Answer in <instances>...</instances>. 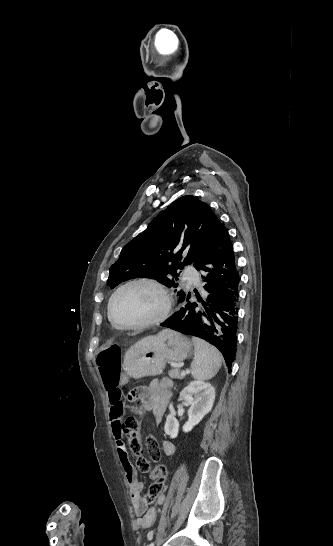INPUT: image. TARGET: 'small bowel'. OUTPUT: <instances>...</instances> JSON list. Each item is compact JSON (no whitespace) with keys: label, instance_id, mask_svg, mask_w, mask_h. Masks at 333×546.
Masks as SVG:
<instances>
[{"label":"small bowel","instance_id":"small-bowel-1","mask_svg":"<svg viewBox=\"0 0 333 546\" xmlns=\"http://www.w3.org/2000/svg\"><path fill=\"white\" fill-rule=\"evenodd\" d=\"M119 385L126 387L129 380V372L122 370L120 375ZM173 394V382L168 378L154 380L149 386L142 387L138 390L140 400L144 402L147 409L153 414L155 420L159 423L167 409ZM111 404L110 408V423L113 437L117 446L119 461L124 470V474L129 486L131 502L137 515L136 525L142 528H150L156 519L158 513L157 505L148 507V504L142 497L143 484L140 481L136 470L130 462L123 434L124 427L122 417L124 414V406L120 402L113 403L109 394ZM163 449L167 455H172L175 452V445L165 440ZM149 477L154 480V473L149 474Z\"/></svg>","mask_w":333,"mask_h":546}]
</instances>
